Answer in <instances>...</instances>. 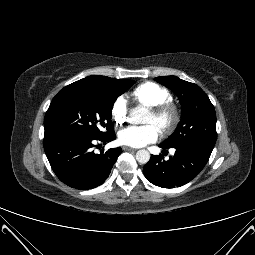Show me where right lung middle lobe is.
Returning a JSON list of instances; mask_svg holds the SVG:
<instances>
[{
  "instance_id": "dd1d6c3e",
  "label": "right lung middle lobe",
  "mask_w": 255,
  "mask_h": 255,
  "mask_svg": "<svg viewBox=\"0 0 255 255\" xmlns=\"http://www.w3.org/2000/svg\"><path fill=\"white\" fill-rule=\"evenodd\" d=\"M133 84V80L114 78L103 86L79 87L62 94L51 102L46 112L45 135L80 134L100 138L113 132L114 102Z\"/></svg>"
}]
</instances>
